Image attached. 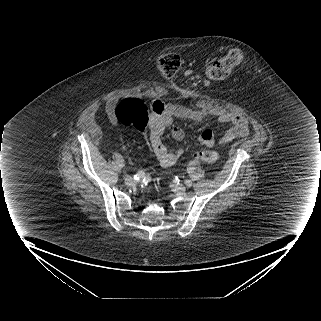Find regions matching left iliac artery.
Segmentation results:
<instances>
[{
	"mask_svg": "<svg viewBox=\"0 0 321 321\" xmlns=\"http://www.w3.org/2000/svg\"><path fill=\"white\" fill-rule=\"evenodd\" d=\"M185 184H186V186L190 187V186H192V181L191 180H186Z\"/></svg>",
	"mask_w": 321,
	"mask_h": 321,
	"instance_id": "1",
	"label": "left iliac artery"
}]
</instances>
